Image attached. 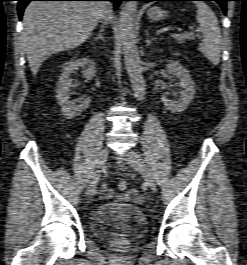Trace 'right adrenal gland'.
Returning a JSON list of instances; mask_svg holds the SVG:
<instances>
[{
  "instance_id": "right-adrenal-gland-1",
  "label": "right adrenal gland",
  "mask_w": 247,
  "mask_h": 265,
  "mask_svg": "<svg viewBox=\"0 0 247 265\" xmlns=\"http://www.w3.org/2000/svg\"><path fill=\"white\" fill-rule=\"evenodd\" d=\"M96 40L101 39L104 42V37H103V27L100 28L98 36L95 38Z\"/></svg>"
}]
</instances>
